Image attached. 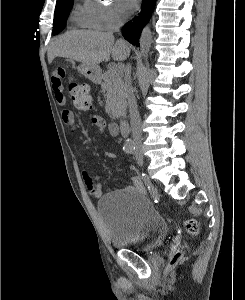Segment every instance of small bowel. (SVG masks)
<instances>
[{
	"instance_id": "obj_1",
	"label": "small bowel",
	"mask_w": 245,
	"mask_h": 300,
	"mask_svg": "<svg viewBox=\"0 0 245 300\" xmlns=\"http://www.w3.org/2000/svg\"><path fill=\"white\" fill-rule=\"evenodd\" d=\"M51 83L56 102L61 106L65 105L66 98L63 91L62 79L60 78V76L54 73L51 79ZM90 119L95 125L96 132L98 134H102L106 128L108 129L111 135L116 136L118 134L117 126L113 123L107 124L106 121L98 114H91ZM62 120L64 124L70 128L71 132L75 131V117L72 111H70L69 109H63ZM104 155L112 159L117 158V155L113 152H105ZM83 178L90 194L96 199L100 198L102 195V190L101 185L99 183V177L93 176L89 171L84 170ZM131 180L132 185L129 187V189L142 193L144 191V187L141 177L138 174H135L132 176Z\"/></svg>"
}]
</instances>
